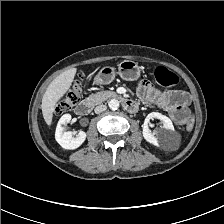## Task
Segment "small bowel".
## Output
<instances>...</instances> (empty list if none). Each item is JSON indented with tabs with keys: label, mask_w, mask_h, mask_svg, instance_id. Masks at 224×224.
<instances>
[{
	"label": "small bowel",
	"mask_w": 224,
	"mask_h": 224,
	"mask_svg": "<svg viewBox=\"0 0 224 224\" xmlns=\"http://www.w3.org/2000/svg\"><path fill=\"white\" fill-rule=\"evenodd\" d=\"M137 92L142 102L164 109L175 123L183 124L187 121L186 118H179L190 103V95L187 92L160 90L147 82H142L138 86Z\"/></svg>",
	"instance_id": "obj_1"
}]
</instances>
